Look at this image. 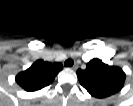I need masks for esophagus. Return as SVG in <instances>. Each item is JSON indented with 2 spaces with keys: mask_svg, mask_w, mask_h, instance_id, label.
<instances>
[{
  "mask_svg": "<svg viewBox=\"0 0 133 106\" xmlns=\"http://www.w3.org/2000/svg\"><path fill=\"white\" fill-rule=\"evenodd\" d=\"M78 68V65L77 64H74L73 66H72V69L73 70H76Z\"/></svg>",
  "mask_w": 133,
  "mask_h": 106,
  "instance_id": "esophagus-1",
  "label": "esophagus"
}]
</instances>
